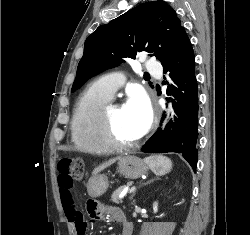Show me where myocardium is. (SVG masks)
Returning a JSON list of instances; mask_svg holds the SVG:
<instances>
[{"mask_svg":"<svg viewBox=\"0 0 250 235\" xmlns=\"http://www.w3.org/2000/svg\"><path fill=\"white\" fill-rule=\"evenodd\" d=\"M122 105L105 106L102 111L103 134L108 144L115 150H130L139 146L143 138L140 137L133 142H124L116 134L112 110Z\"/></svg>","mask_w":250,"mask_h":235,"instance_id":"f54148a6","label":"myocardium"}]
</instances>
